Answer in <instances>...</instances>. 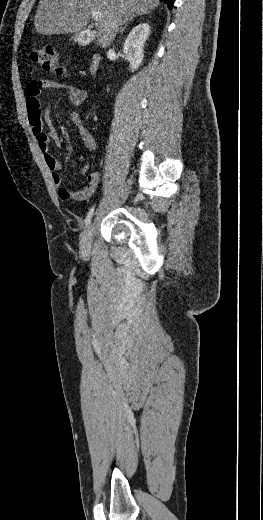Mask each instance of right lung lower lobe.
Segmentation results:
<instances>
[{"label":"right lung lower lobe","mask_w":263,"mask_h":520,"mask_svg":"<svg viewBox=\"0 0 263 520\" xmlns=\"http://www.w3.org/2000/svg\"><path fill=\"white\" fill-rule=\"evenodd\" d=\"M161 1L165 2L168 5L169 9L172 8V5L174 3V0H161Z\"/></svg>","instance_id":"98d812e1"}]
</instances>
